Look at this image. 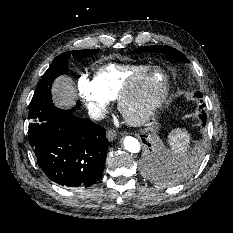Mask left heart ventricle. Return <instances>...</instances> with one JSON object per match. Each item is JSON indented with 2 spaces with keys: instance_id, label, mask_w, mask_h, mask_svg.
<instances>
[{
  "instance_id": "obj_1",
  "label": "left heart ventricle",
  "mask_w": 233,
  "mask_h": 233,
  "mask_svg": "<svg viewBox=\"0 0 233 233\" xmlns=\"http://www.w3.org/2000/svg\"><path fill=\"white\" fill-rule=\"evenodd\" d=\"M160 82L161 81L157 82L156 87L159 86ZM155 91L156 90L153 89L151 92L136 96L130 104V110L138 111L139 109L143 108L148 103L150 97L155 93Z\"/></svg>"
}]
</instances>
